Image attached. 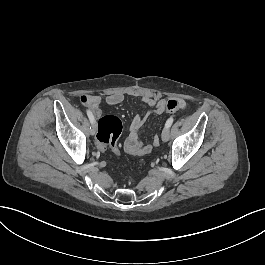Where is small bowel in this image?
Segmentation results:
<instances>
[{"instance_id": "small-bowel-1", "label": "small bowel", "mask_w": 265, "mask_h": 265, "mask_svg": "<svg viewBox=\"0 0 265 265\" xmlns=\"http://www.w3.org/2000/svg\"><path fill=\"white\" fill-rule=\"evenodd\" d=\"M124 99L125 97L123 93L113 92L106 97V102L110 106H116L121 104L124 101ZM165 101L166 99H159L149 94H144L142 96V102L149 107V110L143 117L136 118L132 122L129 136L127 137L124 145L127 153L133 156H143L151 153V151L154 148L159 146L160 140L158 136L153 137L150 144H143L139 141L138 132L140 131V129L143 127V125L151 115L153 114L161 115L165 112L164 109ZM100 102H101L100 96L98 95L88 96L86 104L96 116H99L102 113V110L99 107ZM178 102L180 105V110L187 109V103L185 100L179 99Z\"/></svg>"}]
</instances>
